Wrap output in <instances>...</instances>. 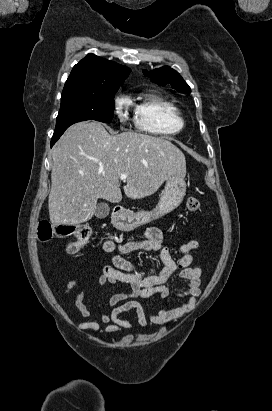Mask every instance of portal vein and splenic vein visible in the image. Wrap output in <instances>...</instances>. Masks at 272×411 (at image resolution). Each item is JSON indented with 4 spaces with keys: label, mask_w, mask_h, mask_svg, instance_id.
<instances>
[{
    "label": "portal vein and splenic vein",
    "mask_w": 272,
    "mask_h": 411,
    "mask_svg": "<svg viewBox=\"0 0 272 411\" xmlns=\"http://www.w3.org/2000/svg\"><path fill=\"white\" fill-rule=\"evenodd\" d=\"M120 179H121V180H126V179H127V174L122 173V174L120 175Z\"/></svg>",
    "instance_id": "18ae733b"
}]
</instances>
